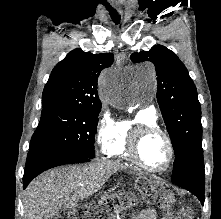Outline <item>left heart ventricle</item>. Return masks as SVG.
<instances>
[{"mask_svg":"<svg viewBox=\"0 0 221 219\" xmlns=\"http://www.w3.org/2000/svg\"><path fill=\"white\" fill-rule=\"evenodd\" d=\"M142 160L151 168L162 169L168 161V146L159 134L150 135L144 139L140 147Z\"/></svg>","mask_w":221,"mask_h":219,"instance_id":"left-heart-ventricle-1","label":"left heart ventricle"}]
</instances>
